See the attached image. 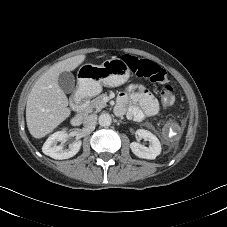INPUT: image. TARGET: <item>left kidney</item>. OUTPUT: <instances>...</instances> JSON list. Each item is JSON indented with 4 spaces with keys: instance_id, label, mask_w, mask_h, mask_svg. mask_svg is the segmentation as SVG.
I'll return each instance as SVG.
<instances>
[{
    "instance_id": "5707ae66",
    "label": "left kidney",
    "mask_w": 227,
    "mask_h": 227,
    "mask_svg": "<svg viewBox=\"0 0 227 227\" xmlns=\"http://www.w3.org/2000/svg\"><path fill=\"white\" fill-rule=\"evenodd\" d=\"M135 134L139 139L143 138L150 143V146L146 147L138 142H132L130 148L136 156L152 160L161 154L162 147L160 141L154 134L145 129H138Z\"/></svg>"
}]
</instances>
